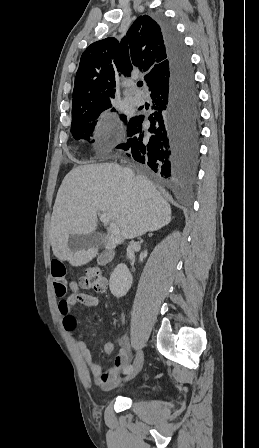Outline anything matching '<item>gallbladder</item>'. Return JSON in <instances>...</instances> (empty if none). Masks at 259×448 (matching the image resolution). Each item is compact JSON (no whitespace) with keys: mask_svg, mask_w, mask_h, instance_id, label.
Listing matches in <instances>:
<instances>
[{"mask_svg":"<svg viewBox=\"0 0 259 448\" xmlns=\"http://www.w3.org/2000/svg\"><path fill=\"white\" fill-rule=\"evenodd\" d=\"M107 242V236L101 234V232H93V234H87V236H69L68 246L71 252H81V250H88V248H99L104 246Z\"/></svg>","mask_w":259,"mask_h":448,"instance_id":"obj_1","label":"gallbladder"}]
</instances>
